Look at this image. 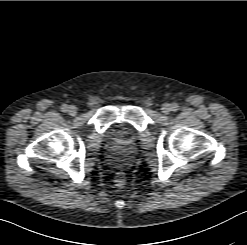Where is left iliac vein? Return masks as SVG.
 <instances>
[{
	"mask_svg": "<svg viewBox=\"0 0 247 245\" xmlns=\"http://www.w3.org/2000/svg\"><path fill=\"white\" fill-rule=\"evenodd\" d=\"M171 109H172V107L168 103L163 104L162 107H161V111L165 115H168L170 113Z\"/></svg>",
	"mask_w": 247,
	"mask_h": 245,
	"instance_id": "1",
	"label": "left iliac vein"
}]
</instances>
